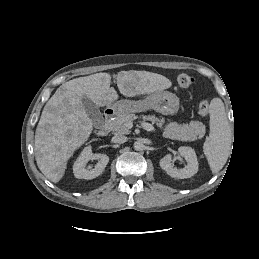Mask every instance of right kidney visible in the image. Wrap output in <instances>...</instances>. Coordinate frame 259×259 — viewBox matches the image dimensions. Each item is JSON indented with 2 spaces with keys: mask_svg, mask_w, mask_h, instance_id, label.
Here are the masks:
<instances>
[{
  "mask_svg": "<svg viewBox=\"0 0 259 259\" xmlns=\"http://www.w3.org/2000/svg\"><path fill=\"white\" fill-rule=\"evenodd\" d=\"M90 160H98V163L95 164L94 168L86 164ZM109 162V157L105 154H93L91 146H87L83 149L78 159L73 165V173L78 179H94L98 177L104 171L106 165Z\"/></svg>",
  "mask_w": 259,
  "mask_h": 259,
  "instance_id": "ca27d5eb",
  "label": "right kidney"
}]
</instances>
